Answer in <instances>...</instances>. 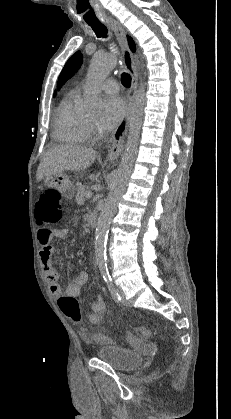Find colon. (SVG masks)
<instances>
[{
    "instance_id": "1",
    "label": "colon",
    "mask_w": 231,
    "mask_h": 419,
    "mask_svg": "<svg viewBox=\"0 0 231 419\" xmlns=\"http://www.w3.org/2000/svg\"><path fill=\"white\" fill-rule=\"evenodd\" d=\"M63 205L61 202V195L57 190L50 189L44 191L38 198L35 205V217L37 222L42 226L55 225L63 218ZM58 305L61 311L74 323H81V310L78 300L71 296H60ZM138 332L144 337H150V331L141 326ZM89 340H93L92 335H87ZM104 343H111L112 341L106 337H95Z\"/></svg>"
}]
</instances>
